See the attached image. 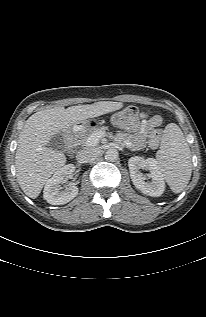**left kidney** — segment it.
Masks as SVG:
<instances>
[{"mask_svg": "<svg viewBox=\"0 0 206 317\" xmlns=\"http://www.w3.org/2000/svg\"><path fill=\"white\" fill-rule=\"evenodd\" d=\"M128 166L130 170V177L137 189H139L142 193L152 197H159L163 194L165 190V183L155 159H144L139 156H134L128 160ZM140 169L149 170L150 174L148 177L151 178V182L145 181V177L140 172Z\"/></svg>", "mask_w": 206, "mask_h": 317, "instance_id": "5707ae66", "label": "left kidney"}]
</instances>
